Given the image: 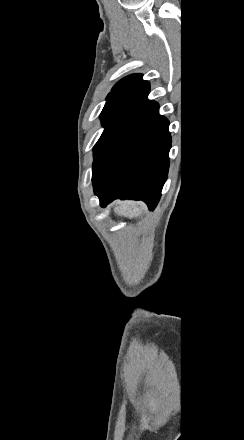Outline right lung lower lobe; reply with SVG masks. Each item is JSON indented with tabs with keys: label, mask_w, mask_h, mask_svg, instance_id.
Here are the masks:
<instances>
[{
	"label": "right lung lower lobe",
	"mask_w": 244,
	"mask_h": 440,
	"mask_svg": "<svg viewBox=\"0 0 244 440\" xmlns=\"http://www.w3.org/2000/svg\"><path fill=\"white\" fill-rule=\"evenodd\" d=\"M158 104L140 100L113 128L93 163L94 193L105 207L114 199L143 200L153 210L167 179L171 136Z\"/></svg>",
	"instance_id": "1"
}]
</instances>
